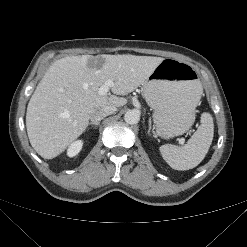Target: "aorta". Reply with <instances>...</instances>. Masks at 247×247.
<instances>
[{
    "mask_svg": "<svg viewBox=\"0 0 247 247\" xmlns=\"http://www.w3.org/2000/svg\"><path fill=\"white\" fill-rule=\"evenodd\" d=\"M124 120L131 125L137 124L140 120V113L137 110H129L125 113Z\"/></svg>",
    "mask_w": 247,
    "mask_h": 247,
    "instance_id": "762f6f07",
    "label": "aorta"
}]
</instances>
